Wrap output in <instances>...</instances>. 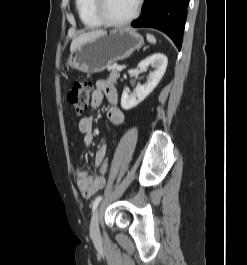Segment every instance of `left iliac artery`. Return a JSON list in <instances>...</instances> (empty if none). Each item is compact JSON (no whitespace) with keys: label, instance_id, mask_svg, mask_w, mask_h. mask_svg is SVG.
Instances as JSON below:
<instances>
[{"label":"left iliac artery","instance_id":"left-iliac-artery-1","mask_svg":"<svg viewBox=\"0 0 247 265\" xmlns=\"http://www.w3.org/2000/svg\"><path fill=\"white\" fill-rule=\"evenodd\" d=\"M102 200V196H98L94 202H93V205H92V211L94 212L95 209L97 208V206L99 205L100 201Z\"/></svg>","mask_w":247,"mask_h":265}]
</instances>
